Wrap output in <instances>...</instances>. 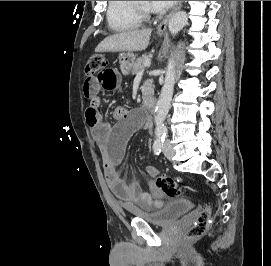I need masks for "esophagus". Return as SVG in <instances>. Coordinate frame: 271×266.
Here are the masks:
<instances>
[{
  "instance_id": "34e87169",
  "label": "esophagus",
  "mask_w": 271,
  "mask_h": 266,
  "mask_svg": "<svg viewBox=\"0 0 271 266\" xmlns=\"http://www.w3.org/2000/svg\"><path fill=\"white\" fill-rule=\"evenodd\" d=\"M182 3L183 1H178L173 10L163 19V21L158 25L156 29L157 33H163L166 31L170 18L181 8Z\"/></svg>"
}]
</instances>
